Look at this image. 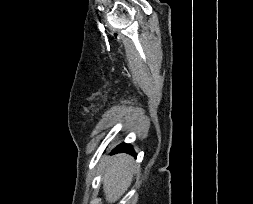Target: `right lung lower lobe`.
<instances>
[{"label":"right lung lower lobe","mask_w":253,"mask_h":204,"mask_svg":"<svg viewBox=\"0 0 253 204\" xmlns=\"http://www.w3.org/2000/svg\"><path fill=\"white\" fill-rule=\"evenodd\" d=\"M119 152H127V153H130V154L135 155L132 146L129 145V144H125V143H122V144L118 145V146L112 151L113 154H114V153H119Z\"/></svg>","instance_id":"98d812e1"}]
</instances>
